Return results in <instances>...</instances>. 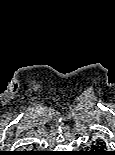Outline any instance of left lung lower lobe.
Listing matches in <instances>:
<instances>
[{"instance_id": "left-lung-lower-lobe-1", "label": "left lung lower lobe", "mask_w": 115, "mask_h": 155, "mask_svg": "<svg viewBox=\"0 0 115 155\" xmlns=\"http://www.w3.org/2000/svg\"><path fill=\"white\" fill-rule=\"evenodd\" d=\"M92 150L85 155H115L112 151H107V147L104 141L101 139L92 142Z\"/></svg>"}]
</instances>
